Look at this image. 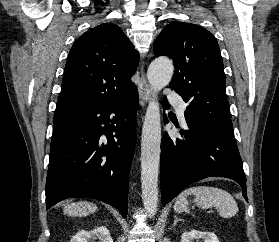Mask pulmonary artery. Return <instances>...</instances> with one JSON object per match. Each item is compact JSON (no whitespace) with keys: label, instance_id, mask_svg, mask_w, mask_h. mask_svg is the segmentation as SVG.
Listing matches in <instances>:
<instances>
[{"label":"pulmonary artery","instance_id":"pulmonary-artery-1","mask_svg":"<svg viewBox=\"0 0 279 242\" xmlns=\"http://www.w3.org/2000/svg\"><path fill=\"white\" fill-rule=\"evenodd\" d=\"M168 99H169L170 103L174 106V108L176 109L179 117L181 119H184V112L186 110V104L183 101V99L181 98V96L174 94V93H170L168 95Z\"/></svg>","mask_w":279,"mask_h":242}]
</instances>
